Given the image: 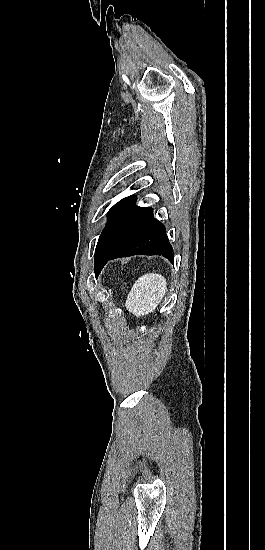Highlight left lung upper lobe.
<instances>
[{"mask_svg":"<svg viewBox=\"0 0 265 550\" xmlns=\"http://www.w3.org/2000/svg\"><path fill=\"white\" fill-rule=\"evenodd\" d=\"M136 200L137 197L132 195L110 208L108 223L99 237L95 255L103 256L112 251L152 211L150 207L136 206Z\"/></svg>","mask_w":265,"mask_h":550,"instance_id":"5c2ea615","label":"left lung upper lobe"}]
</instances>
